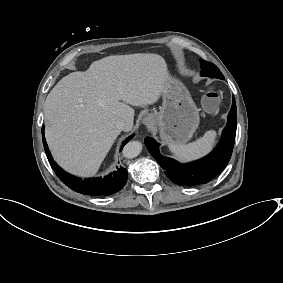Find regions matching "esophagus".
<instances>
[{
    "label": "esophagus",
    "instance_id": "esophagus-1",
    "mask_svg": "<svg viewBox=\"0 0 283 283\" xmlns=\"http://www.w3.org/2000/svg\"><path fill=\"white\" fill-rule=\"evenodd\" d=\"M150 126H153L154 125V123H151V124H149Z\"/></svg>",
    "mask_w": 283,
    "mask_h": 283
}]
</instances>
